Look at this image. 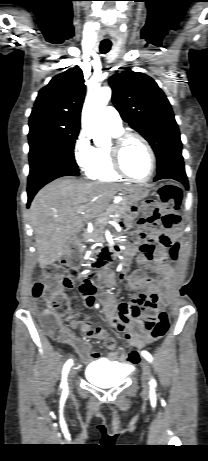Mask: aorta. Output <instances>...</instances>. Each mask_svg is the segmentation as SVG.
Returning <instances> with one entry per match:
<instances>
[{
    "instance_id": "aorta-1",
    "label": "aorta",
    "mask_w": 208,
    "mask_h": 461,
    "mask_svg": "<svg viewBox=\"0 0 208 461\" xmlns=\"http://www.w3.org/2000/svg\"><path fill=\"white\" fill-rule=\"evenodd\" d=\"M111 94L110 87H102L89 92L82 110L83 131L99 147H103L109 142V135L105 129L102 114Z\"/></svg>"
}]
</instances>
